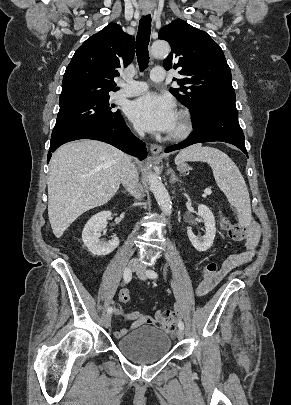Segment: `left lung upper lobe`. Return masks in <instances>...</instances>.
Here are the masks:
<instances>
[{
  "mask_svg": "<svg viewBox=\"0 0 291 405\" xmlns=\"http://www.w3.org/2000/svg\"><path fill=\"white\" fill-rule=\"evenodd\" d=\"M159 39L168 41L172 48L163 66L178 69L182 76L174 79L180 88L170 92L190 109L193 124L200 123L213 104H235L230 68L210 35L177 19L160 30Z\"/></svg>",
  "mask_w": 291,
  "mask_h": 405,
  "instance_id": "5c2ea615",
  "label": "left lung upper lobe"
}]
</instances>
